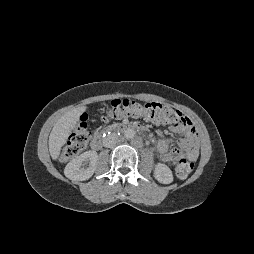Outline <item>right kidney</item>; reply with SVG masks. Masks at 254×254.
Returning a JSON list of instances; mask_svg holds the SVG:
<instances>
[{
	"mask_svg": "<svg viewBox=\"0 0 254 254\" xmlns=\"http://www.w3.org/2000/svg\"><path fill=\"white\" fill-rule=\"evenodd\" d=\"M97 161L98 154L96 151H86L66 165L64 174L70 180H88L94 174Z\"/></svg>",
	"mask_w": 254,
	"mask_h": 254,
	"instance_id": "1",
	"label": "right kidney"
}]
</instances>
